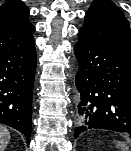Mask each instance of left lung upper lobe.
Listing matches in <instances>:
<instances>
[{"mask_svg": "<svg viewBox=\"0 0 131 151\" xmlns=\"http://www.w3.org/2000/svg\"><path fill=\"white\" fill-rule=\"evenodd\" d=\"M89 39L131 56L130 25L122 11L110 0H94L79 30Z\"/></svg>", "mask_w": 131, "mask_h": 151, "instance_id": "left-lung-upper-lobe-1", "label": "left lung upper lobe"}]
</instances>
